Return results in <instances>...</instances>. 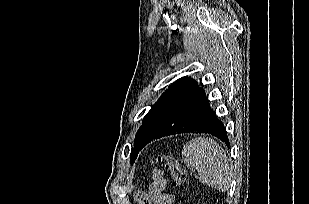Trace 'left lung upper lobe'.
<instances>
[{"label": "left lung upper lobe", "instance_id": "5c2ea615", "mask_svg": "<svg viewBox=\"0 0 309 204\" xmlns=\"http://www.w3.org/2000/svg\"><path fill=\"white\" fill-rule=\"evenodd\" d=\"M199 87L195 80L190 78H181L170 86V88L163 93L161 98L153 105L147 115L144 117L142 126L139 128L134 141L135 147L131 150V162H133L139 151L141 144L157 119L175 102L197 90Z\"/></svg>", "mask_w": 309, "mask_h": 204}]
</instances>
